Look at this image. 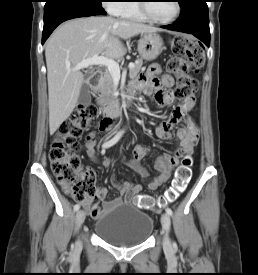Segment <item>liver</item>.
<instances>
[{
	"mask_svg": "<svg viewBox=\"0 0 258 275\" xmlns=\"http://www.w3.org/2000/svg\"><path fill=\"white\" fill-rule=\"evenodd\" d=\"M157 31L142 23L103 16L76 18L58 27L45 48L50 134L70 116L78 102L84 82L82 72L72 70L78 63L95 54L113 60L122 58L126 50L120 39Z\"/></svg>",
	"mask_w": 258,
	"mask_h": 275,
	"instance_id": "obj_1",
	"label": "liver"
}]
</instances>
